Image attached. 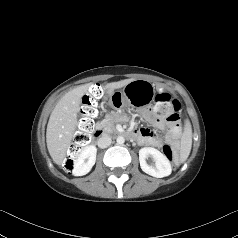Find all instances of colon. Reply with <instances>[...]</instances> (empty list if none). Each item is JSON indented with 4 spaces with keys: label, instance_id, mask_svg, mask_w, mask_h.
<instances>
[{
    "label": "colon",
    "instance_id": "colon-1",
    "mask_svg": "<svg viewBox=\"0 0 238 238\" xmlns=\"http://www.w3.org/2000/svg\"><path fill=\"white\" fill-rule=\"evenodd\" d=\"M102 95V86L94 85L82 99L80 108L82 117L79 120L78 131L74 135L73 142L68 150V157L64 163L66 170L72 169L74 158L90 140L94 128L93 118L97 114V101ZM153 111L157 116L169 122H177L179 119L180 102L168 93H160L156 96ZM163 153L168 160H174L172 146L164 145Z\"/></svg>",
    "mask_w": 238,
    "mask_h": 238
}]
</instances>
